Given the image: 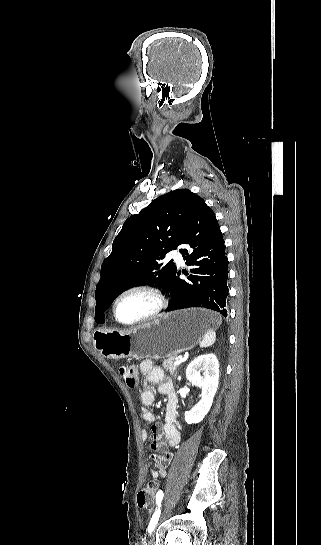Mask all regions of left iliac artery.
Segmentation results:
<instances>
[{
    "label": "left iliac artery",
    "mask_w": 321,
    "mask_h": 545,
    "mask_svg": "<svg viewBox=\"0 0 321 545\" xmlns=\"http://www.w3.org/2000/svg\"><path fill=\"white\" fill-rule=\"evenodd\" d=\"M162 499H163V492L159 491V493L157 494V498H156L157 508H156V511L153 514V516L151 518V521L149 523V526H148V532L149 533H151L154 530V528H155V526H156V524L158 522V519L160 517V512H161L160 507H161Z\"/></svg>",
    "instance_id": "44dca946"
}]
</instances>
